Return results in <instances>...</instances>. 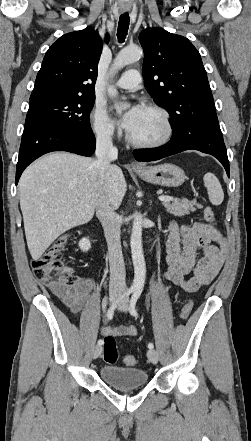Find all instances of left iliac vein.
Segmentation results:
<instances>
[{
  "instance_id": "1",
  "label": "left iliac vein",
  "mask_w": 251,
  "mask_h": 441,
  "mask_svg": "<svg viewBox=\"0 0 251 441\" xmlns=\"http://www.w3.org/2000/svg\"><path fill=\"white\" fill-rule=\"evenodd\" d=\"M119 310L126 312L128 310V299H124L121 304L119 305ZM147 357L149 359V361L153 364H157L158 363V353L156 350L154 349H149L147 351Z\"/></svg>"
}]
</instances>
